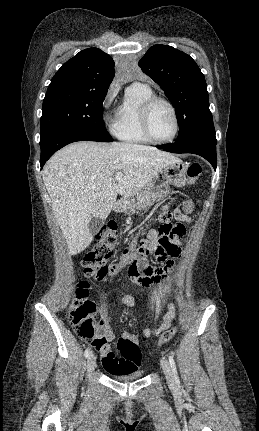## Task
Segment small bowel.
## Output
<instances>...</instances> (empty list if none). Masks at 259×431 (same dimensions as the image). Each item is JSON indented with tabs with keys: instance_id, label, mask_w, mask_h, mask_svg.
Masks as SVG:
<instances>
[{
	"instance_id": "1",
	"label": "small bowel",
	"mask_w": 259,
	"mask_h": 431,
	"mask_svg": "<svg viewBox=\"0 0 259 431\" xmlns=\"http://www.w3.org/2000/svg\"><path fill=\"white\" fill-rule=\"evenodd\" d=\"M167 209H168V206L163 207L164 211H166ZM175 217L179 221H183V222L190 221V218L188 217V215L180 211L175 212ZM155 234H156L155 230L149 231L148 239L154 237ZM181 245H182V241L181 240L177 241L176 251L172 255V259L169 260L166 263V265L163 267H151V266L129 267L127 272L128 280L134 283H140L141 287H147V286L154 287L157 285V283L163 282L165 280L166 274L175 267L177 260L181 257ZM158 297L159 295H154L151 297V299L154 300V299H157ZM118 302L130 307L139 309L138 302L130 296H123L119 298ZM175 317L176 315H175L174 305L169 304L167 307V312L164 314L160 325L157 328L146 330L145 334L149 335V334L160 333L161 331L170 327ZM100 333L104 337L105 343L103 345L93 346V347L98 351H100L102 365L107 372H120L123 366L126 364L132 366L134 369H137V367L141 363L140 350L137 356L133 358L120 353L118 355L116 352L110 349V343L114 339V334L111 330L110 319L106 315H103L101 319ZM138 340H139V336L137 334L126 332L122 335L119 341H130L137 344Z\"/></svg>"
}]
</instances>
